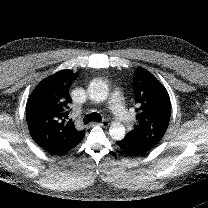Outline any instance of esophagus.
I'll use <instances>...</instances> for the list:
<instances>
[{
    "instance_id": "34e87169",
    "label": "esophagus",
    "mask_w": 208,
    "mask_h": 208,
    "mask_svg": "<svg viewBox=\"0 0 208 208\" xmlns=\"http://www.w3.org/2000/svg\"><path fill=\"white\" fill-rule=\"evenodd\" d=\"M93 125H99V126H103V127H108L109 126V122L107 120H102L101 122H93Z\"/></svg>"
}]
</instances>
